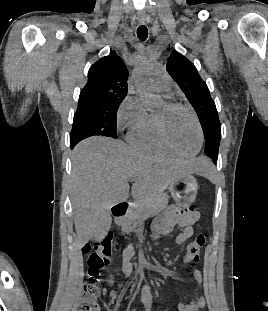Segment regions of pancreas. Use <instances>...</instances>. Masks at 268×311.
I'll use <instances>...</instances> for the list:
<instances>
[{
	"mask_svg": "<svg viewBox=\"0 0 268 311\" xmlns=\"http://www.w3.org/2000/svg\"><path fill=\"white\" fill-rule=\"evenodd\" d=\"M168 205V196L158 195L142 200H137L129 213L118 221L124 233L129 234L135 228L143 226V222L150 215L158 214Z\"/></svg>",
	"mask_w": 268,
	"mask_h": 311,
	"instance_id": "cf45deb5",
	"label": "pancreas"
}]
</instances>
